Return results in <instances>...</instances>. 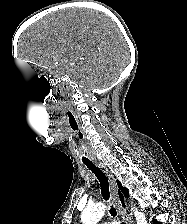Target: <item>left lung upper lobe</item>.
<instances>
[{
    "mask_svg": "<svg viewBox=\"0 0 187 224\" xmlns=\"http://www.w3.org/2000/svg\"><path fill=\"white\" fill-rule=\"evenodd\" d=\"M117 184H118V187L120 188V190L123 192V194L126 197H128L129 196L128 189L125 187H122L121 183L118 180H117Z\"/></svg>",
    "mask_w": 187,
    "mask_h": 224,
    "instance_id": "obj_1",
    "label": "left lung upper lobe"
}]
</instances>
